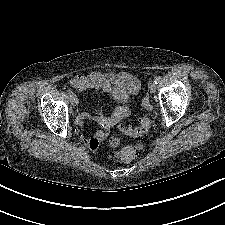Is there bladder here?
<instances>
[{
	"mask_svg": "<svg viewBox=\"0 0 225 225\" xmlns=\"http://www.w3.org/2000/svg\"><path fill=\"white\" fill-rule=\"evenodd\" d=\"M115 99H117L121 103H127L131 99V97H130V94H127V93H118L115 96Z\"/></svg>",
	"mask_w": 225,
	"mask_h": 225,
	"instance_id": "obj_1",
	"label": "bladder"
}]
</instances>
